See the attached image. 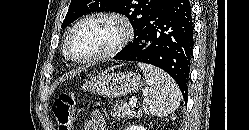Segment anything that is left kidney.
<instances>
[{
    "label": "left kidney",
    "mask_w": 249,
    "mask_h": 130,
    "mask_svg": "<svg viewBox=\"0 0 249 130\" xmlns=\"http://www.w3.org/2000/svg\"><path fill=\"white\" fill-rule=\"evenodd\" d=\"M126 130H146L143 126H129Z\"/></svg>",
    "instance_id": "1"
}]
</instances>
